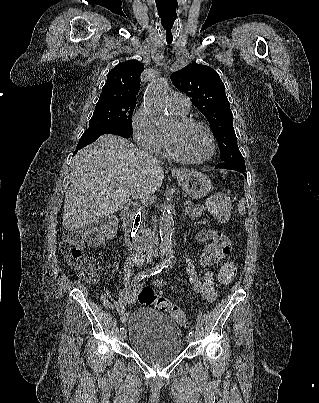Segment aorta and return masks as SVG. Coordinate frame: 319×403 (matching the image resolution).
Returning <instances> with one entry per match:
<instances>
[{
    "mask_svg": "<svg viewBox=\"0 0 319 403\" xmlns=\"http://www.w3.org/2000/svg\"><path fill=\"white\" fill-rule=\"evenodd\" d=\"M167 99V79L159 78L148 85L144 95V108L149 118L157 127H162L168 119ZM159 233L161 239L160 253L163 257L170 259L173 255L172 236L174 233V219L168 205L164 206L159 223Z\"/></svg>",
    "mask_w": 319,
    "mask_h": 403,
    "instance_id": "762f6f07",
    "label": "aorta"
}]
</instances>
